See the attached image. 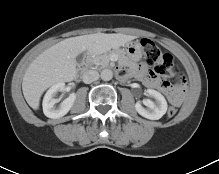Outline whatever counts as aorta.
<instances>
[{
	"mask_svg": "<svg viewBox=\"0 0 219 174\" xmlns=\"http://www.w3.org/2000/svg\"><path fill=\"white\" fill-rule=\"evenodd\" d=\"M100 77L104 81H109L113 78V72L110 69H103L100 73Z\"/></svg>",
	"mask_w": 219,
	"mask_h": 174,
	"instance_id": "762f6f07",
	"label": "aorta"
}]
</instances>
